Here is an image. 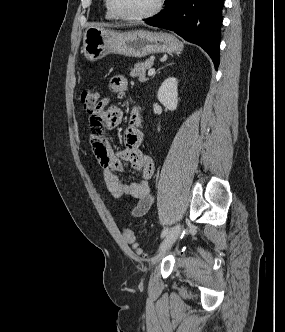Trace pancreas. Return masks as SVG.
Listing matches in <instances>:
<instances>
[{
	"instance_id": "pancreas-1",
	"label": "pancreas",
	"mask_w": 285,
	"mask_h": 332,
	"mask_svg": "<svg viewBox=\"0 0 285 332\" xmlns=\"http://www.w3.org/2000/svg\"><path fill=\"white\" fill-rule=\"evenodd\" d=\"M153 65V60L147 59L144 62L137 63L133 68H131L130 75L133 78H138L140 82L147 81L146 70H148Z\"/></svg>"
}]
</instances>
